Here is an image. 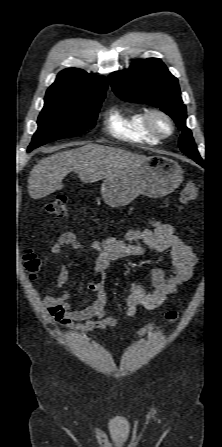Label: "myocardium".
I'll list each match as a JSON object with an SVG mask.
<instances>
[{
    "label": "myocardium",
    "instance_id": "myocardium-1",
    "mask_svg": "<svg viewBox=\"0 0 222 447\" xmlns=\"http://www.w3.org/2000/svg\"><path fill=\"white\" fill-rule=\"evenodd\" d=\"M164 120L168 125V131L163 132L157 127V120ZM144 122L146 129L156 138L165 139L175 132V124L169 114L160 109H151L145 113Z\"/></svg>",
    "mask_w": 222,
    "mask_h": 447
}]
</instances>
